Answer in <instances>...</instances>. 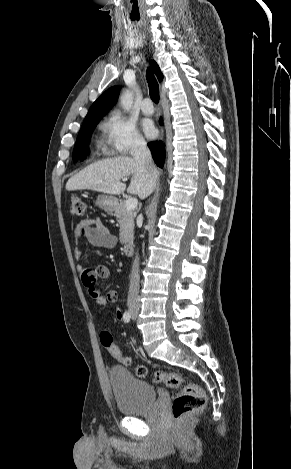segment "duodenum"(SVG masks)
I'll list each match as a JSON object with an SVG mask.
<instances>
[{"label": "duodenum", "instance_id": "410a0bca", "mask_svg": "<svg viewBox=\"0 0 291 469\" xmlns=\"http://www.w3.org/2000/svg\"><path fill=\"white\" fill-rule=\"evenodd\" d=\"M124 251H125V254L126 255H131L134 251V245L132 242H128L125 247H124Z\"/></svg>", "mask_w": 291, "mask_h": 469}]
</instances>
